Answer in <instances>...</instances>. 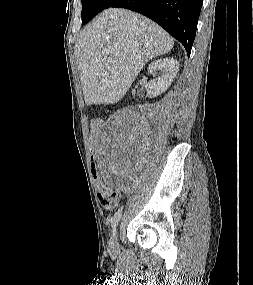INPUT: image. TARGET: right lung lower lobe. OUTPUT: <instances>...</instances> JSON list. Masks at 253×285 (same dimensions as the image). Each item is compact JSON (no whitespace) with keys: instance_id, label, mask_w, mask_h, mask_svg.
I'll return each mask as SVG.
<instances>
[{"instance_id":"obj_1","label":"right lung lower lobe","mask_w":253,"mask_h":285,"mask_svg":"<svg viewBox=\"0 0 253 285\" xmlns=\"http://www.w3.org/2000/svg\"><path fill=\"white\" fill-rule=\"evenodd\" d=\"M203 0H117L110 7L139 12L180 41L188 56L196 35Z\"/></svg>"}]
</instances>
